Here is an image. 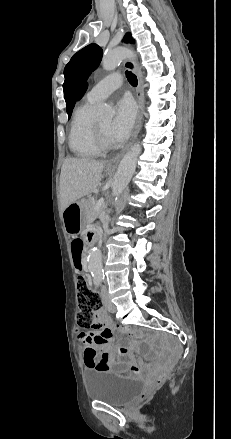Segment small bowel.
<instances>
[{
	"label": "small bowel",
	"instance_id": "1",
	"mask_svg": "<svg viewBox=\"0 0 231 439\" xmlns=\"http://www.w3.org/2000/svg\"><path fill=\"white\" fill-rule=\"evenodd\" d=\"M69 208L71 206L67 209ZM82 248L81 242H76L73 245V256L75 259L79 257ZM91 328V331L81 332L79 335L82 340L81 352L88 368L95 369L94 366L91 367L87 364L86 358L88 355L91 356L94 365L99 362H105L107 364L105 369L108 370L136 367V362L128 347L119 346L116 349L113 348V334L103 309L97 311Z\"/></svg>",
	"mask_w": 231,
	"mask_h": 439
}]
</instances>
